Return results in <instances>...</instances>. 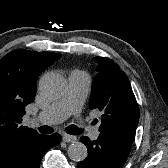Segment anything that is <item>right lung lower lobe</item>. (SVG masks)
Here are the masks:
<instances>
[{
    "mask_svg": "<svg viewBox=\"0 0 168 168\" xmlns=\"http://www.w3.org/2000/svg\"><path fill=\"white\" fill-rule=\"evenodd\" d=\"M60 140L58 134L32 137L16 148L3 168H39L45 152L57 146Z\"/></svg>",
    "mask_w": 168,
    "mask_h": 168,
    "instance_id": "right-lung-lower-lobe-1",
    "label": "right lung lower lobe"
}]
</instances>
